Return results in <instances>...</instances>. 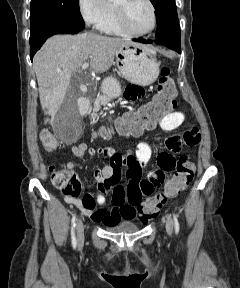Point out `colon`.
<instances>
[{"mask_svg": "<svg viewBox=\"0 0 240 288\" xmlns=\"http://www.w3.org/2000/svg\"><path fill=\"white\" fill-rule=\"evenodd\" d=\"M177 90L170 70L164 67L161 71L156 93L152 99L137 110L123 115L118 122V129L122 133L152 128L165 115L176 107ZM41 142L46 151L56 150L58 143L50 132H43ZM53 185L65 195L77 197L81 193L82 185L76 175L66 170L50 168ZM195 166L192 159L182 155L175 165V174L169 179L164 190L146 200L134 190L128 193V202L135 208L136 216L142 222H148L156 217L168 199L176 197L184 191L194 177Z\"/></svg>", "mask_w": 240, "mask_h": 288, "instance_id": "colon-1", "label": "colon"}]
</instances>
